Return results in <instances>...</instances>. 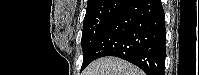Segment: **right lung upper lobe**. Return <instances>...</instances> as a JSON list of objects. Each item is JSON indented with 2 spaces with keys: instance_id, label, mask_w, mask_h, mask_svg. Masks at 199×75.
Segmentation results:
<instances>
[{
  "instance_id": "obj_1",
  "label": "right lung upper lobe",
  "mask_w": 199,
  "mask_h": 75,
  "mask_svg": "<svg viewBox=\"0 0 199 75\" xmlns=\"http://www.w3.org/2000/svg\"><path fill=\"white\" fill-rule=\"evenodd\" d=\"M106 1L107 0H88L87 1V9L101 5V4L105 3Z\"/></svg>"
}]
</instances>
